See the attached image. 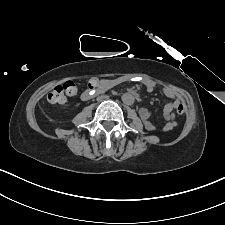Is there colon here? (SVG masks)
I'll list each match as a JSON object with an SVG mask.
<instances>
[{"mask_svg": "<svg viewBox=\"0 0 225 225\" xmlns=\"http://www.w3.org/2000/svg\"><path fill=\"white\" fill-rule=\"evenodd\" d=\"M100 81L98 78L93 81H89V85H97ZM105 84V83H104ZM80 90L79 85L73 81H67L61 85L56 86L53 91L48 95V101L50 103H63L66 99V96H75ZM176 112L178 114L184 113L183 104H179L176 107Z\"/></svg>", "mask_w": 225, "mask_h": 225, "instance_id": "colon-1", "label": "colon"}]
</instances>
